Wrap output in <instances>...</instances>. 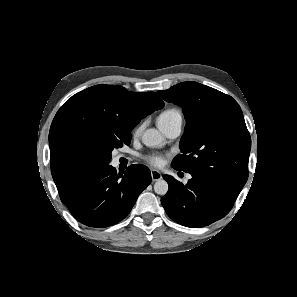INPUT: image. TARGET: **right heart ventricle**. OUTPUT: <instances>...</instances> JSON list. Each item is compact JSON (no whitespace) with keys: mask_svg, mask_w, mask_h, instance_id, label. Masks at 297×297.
<instances>
[{"mask_svg":"<svg viewBox=\"0 0 297 297\" xmlns=\"http://www.w3.org/2000/svg\"><path fill=\"white\" fill-rule=\"evenodd\" d=\"M178 119H182L181 112L176 108H169L160 114L158 118V122H159V125H165L169 122H172Z\"/></svg>","mask_w":297,"mask_h":297,"instance_id":"obj_1","label":"right heart ventricle"}]
</instances>
